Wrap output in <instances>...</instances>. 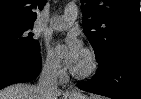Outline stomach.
<instances>
[{
	"label": "stomach",
	"instance_id": "stomach-1",
	"mask_svg": "<svg viewBox=\"0 0 141 99\" xmlns=\"http://www.w3.org/2000/svg\"><path fill=\"white\" fill-rule=\"evenodd\" d=\"M70 99H86L84 96H74L71 97Z\"/></svg>",
	"mask_w": 141,
	"mask_h": 99
}]
</instances>
